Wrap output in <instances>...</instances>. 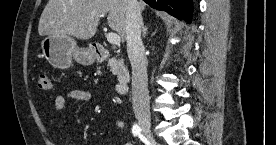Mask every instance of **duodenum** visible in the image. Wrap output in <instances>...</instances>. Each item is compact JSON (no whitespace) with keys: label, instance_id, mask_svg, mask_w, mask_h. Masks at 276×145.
<instances>
[{"label":"duodenum","instance_id":"duodenum-1","mask_svg":"<svg viewBox=\"0 0 276 145\" xmlns=\"http://www.w3.org/2000/svg\"><path fill=\"white\" fill-rule=\"evenodd\" d=\"M94 53L98 60L102 61L110 56V52L103 46L97 45L94 47ZM130 80V71L128 68L119 65L117 70V92L123 94Z\"/></svg>","mask_w":276,"mask_h":145}]
</instances>
